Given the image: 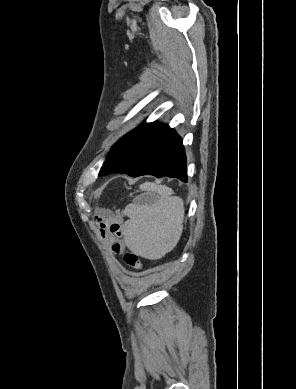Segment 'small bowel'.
Segmentation results:
<instances>
[{"instance_id":"c3829d8e","label":"small bowel","mask_w":296,"mask_h":389,"mask_svg":"<svg viewBox=\"0 0 296 389\" xmlns=\"http://www.w3.org/2000/svg\"><path fill=\"white\" fill-rule=\"evenodd\" d=\"M97 226L103 243L113 255L121 254L125 249L123 216L110 209L98 211Z\"/></svg>"}]
</instances>
